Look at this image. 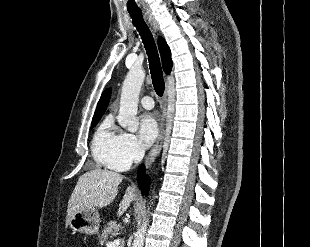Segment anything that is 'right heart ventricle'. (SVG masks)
<instances>
[{"label":"right heart ventricle","instance_id":"1","mask_svg":"<svg viewBox=\"0 0 310 247\" xmlns=\"http://www.w3.org/2000/svg\"><path fill=\"white\" fill-rule=\"evenodd\" d=\"M120 133L114 125L113 118L108 115L97 127L91 144L94 160L101 166L116 169L112 164Z\"/></svg>","mask_w":310,"mask_h":247}]
</instances>
